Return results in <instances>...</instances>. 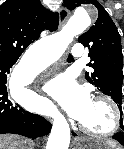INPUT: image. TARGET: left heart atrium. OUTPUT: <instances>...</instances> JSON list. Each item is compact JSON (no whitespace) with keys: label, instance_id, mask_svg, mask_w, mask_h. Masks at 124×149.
Listing matches in <instances>:
<instances>
[{"label":"left heart atrium","instance_id":"obj_1","mask_svg":"<svg viewBox=\"0 0 124 149\" xmlns=\"http://www.w3.org/2000/svg\"><path fill=\"white\" fill-rule=\"evenodd\" d=\"M46 91L76 120H81L92 104L89 91L69 74H61L50 80Z\"/></svg>","mask_w":124,"mask_h":149}]
</instances>
